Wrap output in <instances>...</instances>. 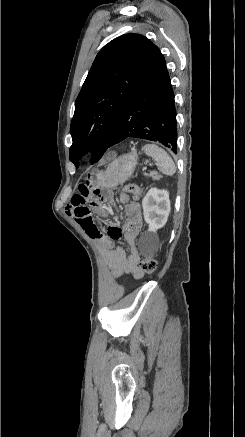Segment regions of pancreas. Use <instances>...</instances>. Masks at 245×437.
Here are the masks:
<instances>
[{"label":"pancreas","mask_w":245,"mask_h":437,"mask_svg":"<svg viewBox=\"0 0 245 437\" xmlns=\"http://www.w3.org/2000/svg\"><path fill=\"white\" fill-rule=\"evenodd\" d=\"M150 176L152 177L153 180H159L160 179V175H158V173L155 172V171H151L150 172Z\"/></svg>","instance_id":"obj_1"}]
</instances>
